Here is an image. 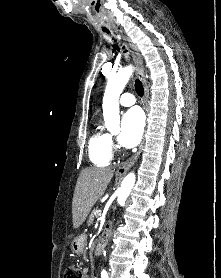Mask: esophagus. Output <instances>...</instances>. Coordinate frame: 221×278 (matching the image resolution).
<instances>
[{
	"label": "esophagus",
	"mask_w": 221,
	"mask_h": 278,
	"mask_svg": "<svg viewBox=\"0 0 221 278\" xmlns=\"http://www.w3.org/2000/svg\"><path fill=\"white\" fill-rule=\"evenodd\" d=\"M118 32V31H117ZM120 35L122 36L123 40L128 44V46L131 49V53H132V58L134 60V63L137 66V74L138 77L140 78V80L142 81L143 87H144V101H143V105H144V109L146 111V113L148 112V107H147V100H148V96H149V91H148V86H147V82H146V78L144 75V65H143V58L137 48V46L135 44L132 43V41L125 36L122 32H120ZM144 141L145 138L143 137L141 144L138 148V151L133 155V157L125 162L124 164H122L117 170H116V175L118 176H123L125 175L130 168L134 165V163L136 162V160L138 159L141 150L143 148L144 145Z\"/></svg>",
	"instance_id": "34e87169"
}]
</instances>
